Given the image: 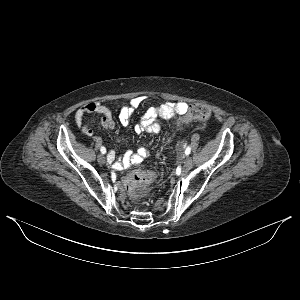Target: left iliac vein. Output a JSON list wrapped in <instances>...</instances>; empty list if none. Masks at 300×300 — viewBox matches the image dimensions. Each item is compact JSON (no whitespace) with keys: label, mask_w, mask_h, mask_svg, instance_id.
Here are the masks:
<instances>
[{"label":"left iliac vein","mask_w":300,"mask_h":300,"mask_svg":"<svg viewBox=\"0 0 300 300\" xmlns=\"http://www.w3.org/2000/svg\"><path fill=\"white\" fill-rule=\"evenodd\" d=\"M193 166L192 159L190 157L186 158L183 166V172H188Z\"/></svg>","instance_id":"1"}]
</instances>
